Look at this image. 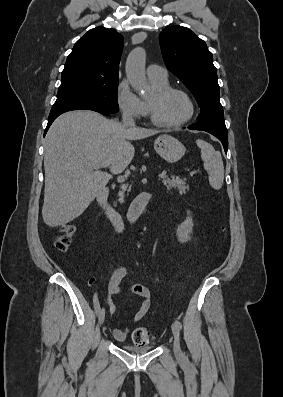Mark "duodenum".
Here are the masks:
<instances>
[{
  "mask_svg": "<svg viewBox=\"0 0 283 397\" xmlns=\"http://www.w3.org/2000/svg\"><path fill=\"white\" fill-rule=\"evenodd\" d=\"M109 191L103 188L97 194V202L108 221L113 227L121 232L124 229L125 223L119 212L108 201ZM151 196L147 192L139 194L131 203L128 219L131 223L136 222L144 215L151 212Z\"/></svg>",
  "mask_w": 283,
  "mask_h": 397,
  "instance_id": "1",
  "label": "duodenum"
}]
</instances>
